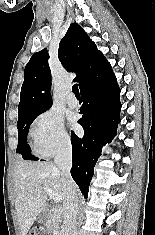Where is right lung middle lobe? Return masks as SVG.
I'll return each mask as SVG.
<instances>
[{"label":"right lung middle lobe","instance_id":"dd1d6c3e","mask_svg":"<svg viewBox=\"0 0 155 235\" xmlns=\"http://www.w3.org/2000/svg\"><path fill=\"white\" fill-rule=\"evenodd\" d=\"M43 112H33L18 116V146L16 152L21 154L25 160H37L27 145V134L33 120Z\"/></svg>","mask_w":155,"mask_h":235}]
</instances>
